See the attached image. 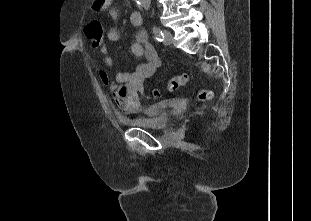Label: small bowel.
<instances>
[{
	"mask_svg": "<svg viewBox=\"0 0 311 221\" xmlns=\"http://www.w3.org/2000/svg\"><path fill=\"white\" fill-rule=\"evenodd\" d=\"M102 9V8H100ZM120 10L118 7H110L109 15L112 19L119 17ZM131 23L139 26L142 23L141 13L135 11L131 14ZM120 33L116 28L108 31L107 38L111 42L119 39ZM134 56L144 58L145 62L136 65L135 69L129 72H117L115 81H112L106 71H100V80L109 91L113 102L124 113H137L140 111V95L144 90V82L151 78L160 61L154 46L149 42L148 35L145 31L136 34L135 40L131 46ZM103 55V63L106 67L114 66V60L110 56L109 47L103 45L100 49Z\"/></svg>",
	"mask_w": 311,
	"mask_h": 221,
	"instance_id": "c3829d8e",
	"label": "small bowel"
}]
</instances>
